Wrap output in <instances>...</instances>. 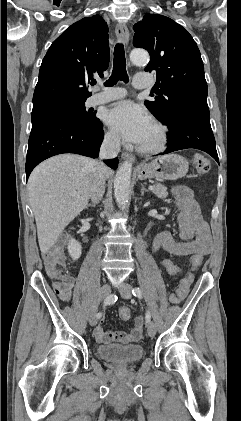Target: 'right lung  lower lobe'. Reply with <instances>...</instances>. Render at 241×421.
<instances>
[{"instance_id": "obj_1", "label": "right lung lower lobe", "mask_w": 241, "mask_h": 421, "mask_svg": "<svg viewBox=\"0 0 241 421\" xmlns=\"http://www.w3.org/2000/svg\"><path fill=\"white\" fill-rule=\"evenodd\" d=\"M103 124L98 119L94 127L83 125L65 113L49 115L32 122L26 159V180L43 160L62 153L98 157L103 141ZM115 169L118 159L105 160Z\"/></svg>"}]
</instances>
